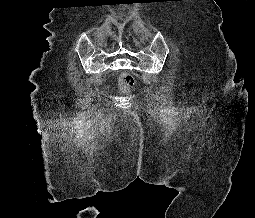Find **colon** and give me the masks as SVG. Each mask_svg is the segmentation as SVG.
<instances>
[{
	"mask_svg": "<svg viewBox=\"0 0 255 218\" xmlns=\"http://www.w3.org/2000/svg\"><path fill=\"white\" fill-rule=\"evenodd\" d=\"M119 84L123 92H128L134 86V78L129 72L123 71L120 74Z\"/></svg>",
	"mask_w": 255,
	"mask_h": 218,
	"instance_id": "obj_1",
	"label": "colon"
}]
</instances>
